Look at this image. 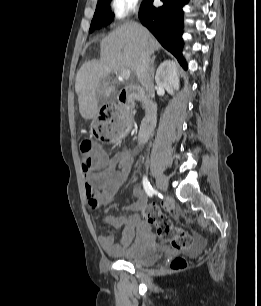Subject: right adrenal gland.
<instances>
[{"label":"right adrenal gland","mask_w":261,"mask_h":306,"mask_svg":"<svg viewBox=\"0 0 261 306\" xmlns=\"http://www.w3.org/2000/svg\"><path fill=\"white\" fill-rule=\"evenodd\" d=\"M155 56L152 57V61H151V69H150V72L152 74V76H154V73H155V67H154V63H155Z\"/></svg>","instance_id":"right-adrenal-gland-1"}]
</instances>
